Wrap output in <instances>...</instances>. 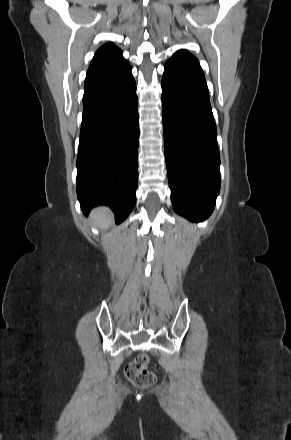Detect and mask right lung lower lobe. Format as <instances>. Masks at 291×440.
Masks as SVG:
<instances>
[{
    "label": "right lung lower lobe",
    "mask_w": 291,
    "mask_h": 440,
    "mask_svg": "<svg viewBox=\"0 0 291 440\" xmlns=\"http://www.w3.org/2000/svg\"><path fill=\"white\" fill-rule=\"evenodd\" d=\"M77 157V196L84 214L108 205L123 221L138 186L139 116L131 66L86 77Z\"/></svg>",
    "instance_id": "98d812e1"
}]
</instances>
